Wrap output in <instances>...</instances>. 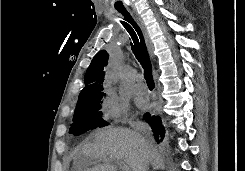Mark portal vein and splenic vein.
Returning a JSON list of instances; mask_svg holds the SVG:
<instances>
[{
	"instance_id": "portal-vein-and-splenic-vein-1",
	"label": "portal vein and splenic vein",
	"mask_w": 245,
	"mask_h": 171,
	"mask_svg": "<svg viewBox=\"0 0 245 171\" xmlns=\"http://www.w3.org/2000/svg\"><path fill=\"white\" fill-rule=\"evenodd\" d=\"M118 164L123 171H130L129 167L123 161H119Z\"/></svg>"
}]
</instances>
